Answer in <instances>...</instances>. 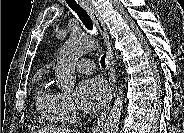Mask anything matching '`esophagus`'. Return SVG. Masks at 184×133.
<instances>
[{
	"label": "esophagus",
	"instance_id": "34e87169",
	"mask_svg": "<svg viewBox=\"0 0 184 133\" xmlns=\"http://www.w3.org/2000/svg\"><path fill=\"white\" fill-rule=\"evenodd\" d=\"M79 3L90 14L93 22L95 23V25L97 26L98 30L100 31L102 37L104 38L105 44L107 47L106 64H107V68L109 71V82L111 85L110 99H109V103L107 105V108L104 110V112L98 118L97 123L95 124V126L93 128L94 132H98L106 120V116L109 112L111 100L113 97L112 91H113V86H114V82H115V69H114V64H113V54L111 51V45H110L109 35L107 32V29H106L102 19L100 18L99 14L97 13L95 7L92 5L91 1H89V0L79 1Z\"/></svg>",
	"mask_w": 184,
	"mask_h": 133
}]
</instances>
